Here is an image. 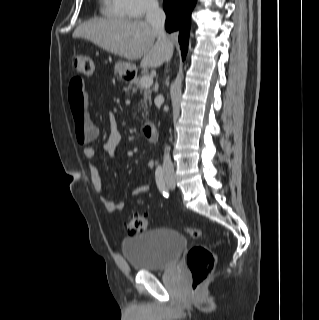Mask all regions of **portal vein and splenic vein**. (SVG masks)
Instances as JSON below:
<instances>
[{"label": "portal vein and splenic vein", "instance_id": "1", "mask_svg": "<svg viewBox=\"0 0 319 320\" xmlns=\"http://www.w3.org/2000/svg\"><path fill=\"white\" fill-rule=\"evenodd\" d=\"M140 84L142 87H150L153 84L152 76L146 75L140 79Z\"/></svg>", "mask_w": 319, "mask_h": 320}]
</instances>
